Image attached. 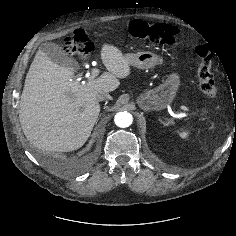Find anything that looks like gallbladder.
Returning a JSON list of instances; mask_svg holds the SVG:
<instances>
[{"instance_id":"1","label":"gallbladder","mask_w":236,"mask_h":236,"mask_svg":"<svg viewBox=\"0 0 236 236\" xmlns=\"http://www.w3.org/2000/svg\"><path fill=\"white\" fill-rule=\"evenodd\" d=\"M40 49L55 63L60 66L67 67L72 70L79 68L78 62L68 56L66 52L58 44L52 42H44Z\"/></svg>"}]
</instances>
